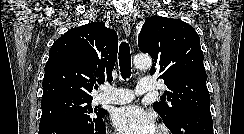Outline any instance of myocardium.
Listing matches in <instances>:
<instances>
[{"label":"myocardium","mask_w":244,"mask_h":134,"mask_svg":"<svg viewBox=\"0 0 244 134\" xmlns=\"http://www.w3.org/2000/svg\"><path fill=\"white\" fill-rule=\"evenodd\" d=\"M157 133L158 134H171L170 131L164 126H159L157 128Z\"/></svg>","instance_id":"obj_1"}]
</instances>
